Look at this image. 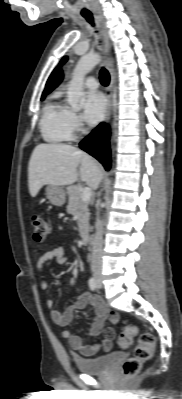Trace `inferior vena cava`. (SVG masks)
Segmentation results:
<instances>
[{
	"label": "inferior vena cava",
	"mask_w": 182,
	"mask_h": 399,
	"mask_svg": "<svg viewBox=\"0 0 182 399\" xmlns=\"http://www.w3.org/2000/svg\"><path fill=\"white\" fill-rule=\"evenodd\" d=\"M95 235L92 240L91 270L93 273L100 272L102 267V245H103V224L98 214L95 224Z\"/></svg>",
	"instance_id": "inferior-vena-cava-1"
}]
</instances>
